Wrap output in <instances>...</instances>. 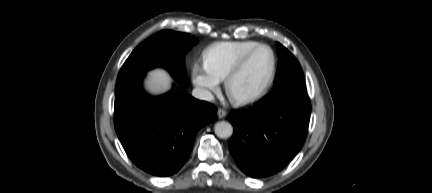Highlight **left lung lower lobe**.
Returning <instances> with one entry per match:
<instances>
[{"instance_id": "1", "label": "left lung lower lobe", "mask_w": 432, "mask_h": 193, "mask_svg": "<svg viewBox=\"0 0 432 193\" xmlns=\"http://www.w3.org/2000/svg\"><path fill=\"white\" fill-rule=\"evenodd\" d=\"M310 109L307 94L277 93L252 109L232 112L229 150L239 168L254 178L281 170L302 147Z\"/></svg>"}]
</instances>
